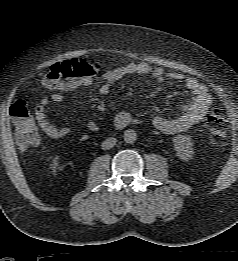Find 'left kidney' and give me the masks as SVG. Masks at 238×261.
<instances>
[{
	"mask_svg": "<svg viewBox=\"0 0 238 261\" xmlns=\"http://www.w3.org/2000/svg\"><path fill=\"white\" fill-rule=\"evenodd\" d=\"M173 142L177 156L180 159L184 161L192 159L194 151L193 143L190 137L185 135H177L174 137Z\"/></svg>",
	"mask_w": 238,
	"mask_h": 261,
	"instance_id": "5707ae66",
	"label": "left kidney"
}]
</instances>
